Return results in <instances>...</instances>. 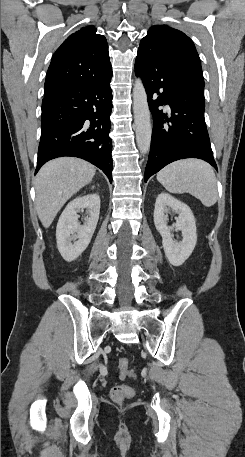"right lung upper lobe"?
I'll use <instances>...</instances> for the list:
<instances>
[{"mask_svg":"<svg viewBox=\"0 0 245 457\" xmlns=\"http://www.w3.org/2000/svg\"><path fill=\"white\" fill-rule=\"evenodd\" d=\"M87 26L71 34L54 53L48 68L44 94L72 84L112 74L106 38Z\"/></svg>","mask_w":245,"mask_h":457,"instance_id":"cb5924a9","label":"right lung upper lobe"}]
</instances>
